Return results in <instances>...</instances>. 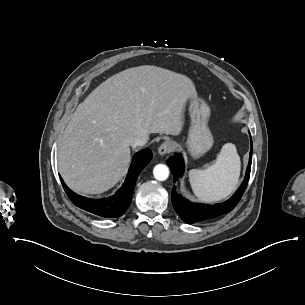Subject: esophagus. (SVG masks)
Here are the masks:
<instances>
[{"instance_id":"obj_1","label":"esophagus","mask_w":305,"mask_h":305,"mask_svg":"<svg viewBox=\"0 0 305 305\" xmlns=\"http://www.w3.org/2000/svg\"><path fill=\"white\" fill-rule=\"evenodd\" d=\"M172 144L168 141L164 142L162 145H160L158 151L161 155L167 154L172 151Z\"/></svg>"}]
</instances>
